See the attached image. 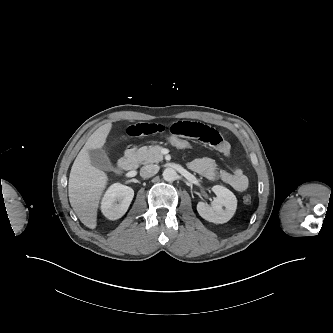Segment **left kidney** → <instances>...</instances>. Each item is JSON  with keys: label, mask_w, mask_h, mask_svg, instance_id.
Instances as JSON below:
<instances>
[{"label": "left kidney", "mask_w": 333, "mask_h": 333, "mask_svg": "<svg viewBox=\"0 0 333 333\" xmlns=\"http://www.w3.org/2000/svg\"><path fill=\"white\" fill-rule=\"evenodd\" d=\"M216 194L211 206L202 201L197 203L199 215L212 223L223 224L228 222L234 215L237 208V199L235 195L227 188L221 185H215L212 188Z\"/></svg>", "instance_id": "5707ae66"}]
</instances>
